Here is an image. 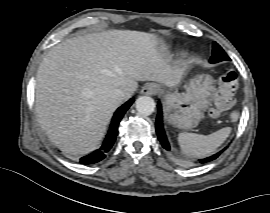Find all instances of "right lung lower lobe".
Listing matches in <instances>:
<instances>
[{"instance_id":"obj_1","label":"right lung lower lobe","mask_w":270,"mask_h":213,"mask_svg":"<svg viewBox=\"0 0 270 213\" xmlns=\"http://www.w3.org/2000/svg\"><path fill=\"white\" fill-rule=\"evenodd\" d=\"M133 102L134 100L130 99L129 101H127L125 104H123L121 107L118 108V110L114 114L110 129L102 146L93 153L82 157L80 159V163L93 164L105 158L106 153L111 149L116 140L119 122Z\"/></svg>"}]
</instances>
